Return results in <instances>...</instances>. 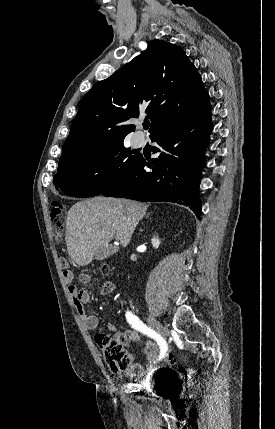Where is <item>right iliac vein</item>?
<instances>
[{
	"mask_svg": "<svg viewBox=\"0 0 275 429\" xmlns=\"http://www.w3.org/2000/svg\"><path fill=\"white\" fill-rule=\"evenodd\" d=\"M148 323L159 335L165 336L167 334V330L153 316H148Z\"/></svg>",
	"mask_w": 275,
	"mask_h": 429,
	"instance_id": "right-iliac-vein-1",
	"label": "right iliac vein"
}]
</instances>
